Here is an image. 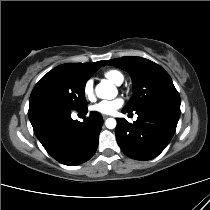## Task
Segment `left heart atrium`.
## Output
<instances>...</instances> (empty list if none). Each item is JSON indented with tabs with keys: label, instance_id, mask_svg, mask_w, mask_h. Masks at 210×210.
<instances>
[{
	"label": "left heart atrium",
	"instance_id": "39dd6f15",
	"mask_svg": "<svg viewBox=\"0 0 210 210\" xmlns=\"http://www.w3.org/2000/svg\"><path fill=\"white\" fill-rule=\"evenodd\" d=\"M122 104L123 101L120 98L102 100L90 106V110L102 115H111L114 114L116 110L122 106Z\"/></svg>",
	"mask_w": 210,
	"mask_h": 210
}]
</instances>
